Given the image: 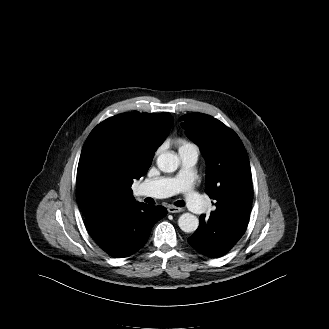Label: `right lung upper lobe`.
I'll return each instance as SVG.
<instances>
[{
	"mask_svg": "<svg viewBox=\"0 0 329 329\" xmlns=\"http://www.w3.org/2000/svg\"><path fill=\"white\" fill-rule=\"evenodd\" d=\"M172 123L168 113L127 112L104 120L91 131L77 169L84 215L101 206L135 201L132 183L147 173Z\"/></svg>",
	"mask_w": 329,
	"mask_h": 329,
	"instance_id": "right-lung-upper-lobe-1",
	"label": "right lung upper lobe"
}]
</instances>
